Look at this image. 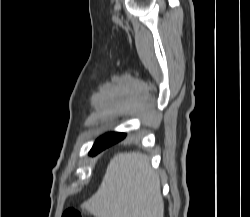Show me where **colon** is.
<instances>
[{"label": "colon", "instance_id": "obj_1", "mask_svg": "<svg viewBox=\"0 0 250 217\" xmlns=\"http://www.w3.org/2000/svg\"><path fill=\"white\" fill-rule=\"evenodd\" d=\"M62 217H83V214L78 209L71 208L65 211Z\"/></svg>", "mask_w": 250, "mask_h": 217}]
</instances>
